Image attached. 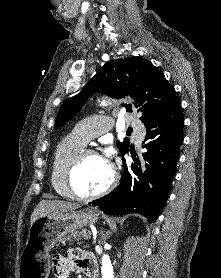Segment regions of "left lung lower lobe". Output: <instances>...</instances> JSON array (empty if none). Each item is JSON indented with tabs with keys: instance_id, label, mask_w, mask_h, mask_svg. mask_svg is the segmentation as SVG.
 Listing matches in <instances>:
<instances>
[{
	"instance_id": "left-lung-lower-lobe-1",
	"label": "left lung lower lobe",
	"mask_w": 221,
	"mask_h": 278,
	"mask_svg": "<svg viewBox=\"0 0 221 278\" xmlns=\"http://www.w3.org/2000/svg\"><path fill=\"white\" fill-rule=\"evenodd\" d=\"M184 120L179 99L155 122L145 124L147 134L142 157L133 156L132 168L109 194L90 202L110 215L139 213L154 223L172 185L183 142ZM124 154L122 155V157Z\"/></svg>"
}]
</instances>
